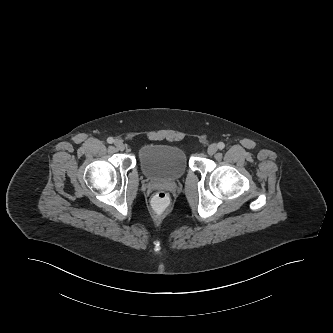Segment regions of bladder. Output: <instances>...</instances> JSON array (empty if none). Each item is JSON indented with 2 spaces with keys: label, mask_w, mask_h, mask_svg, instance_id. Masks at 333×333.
I'll return each instance as SVG.
<instances>
[{
  "label": "bladder",
  "mask_w": 333,
  "mask_h": 333,
  "mask_svg": "<svg viewBox=\"0 0 333 333\" xmlns=\"http://www.w3.org/2000/svg\"><path fill=\"white\" fill-rule=\"evenodd\" d=\"M142 173L155 180L173 181L187 170L184 152L174 146L151 144L141 148L138 154Z\"/></svg>",
  "instance_id": "obj_1"
}]
</instances>
